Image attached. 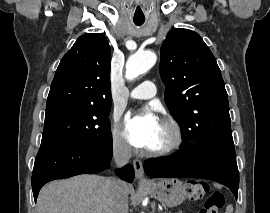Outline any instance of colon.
<instances>
[{
	"instance_id": "obj_1",
	"label": "colon",
	"mask_w": 270,
	"mask_h": 213,
	"mask_svg": "<svg viewBox=\"0 0 270 213\" xmlns=\"http://www.w3.org/2000/svg\"><path fill=\"white\" fill-rule=\"evenodd\" d=\"M207 191L205 182L191 179L184 184V193L191 200L201 199ZM224 205V196L220 191H214L205 200L199 213H219Z\"/></svg>"
}]
</instances>
